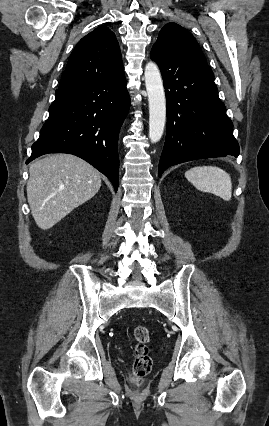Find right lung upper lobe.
I'll return each mask as SVG.
<instances>
[{"label":"right lung upper lobe","instance_id":"cb5924a9","mask_svg":"<svg viewBox=\"0 0 269 426\" xmlns=\"http://www.w3.org/2000/svg\"><path fill=\"white\" fill-rule=\"evenodd\" d=\"M123 72L115 34L99 26L83 37L71 53L58 89L112 78Z\"/></svg>","mask_w":269,"mask_h":426}]
</instances>
